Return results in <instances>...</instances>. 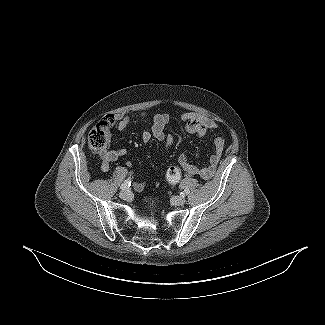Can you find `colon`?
I'll list each match as a JSON object with an SVG mask.
<instances>
[{
    "mask_svg": "<svg viewBox=\"0 0 325 325\" xmlns=\"http://www.w3.org/2000/svg\"><path fill=\"white\" fill-rule=\"evenodd\" d=\"M113 120L104 118L89 133L88 145L94 151H102L106 148L111 140ZM182 175V171L178 166H170L165 173L168 183H177Z\"/></svg>",
    "mask_w": 325,
    "mask_h": 325,
    "instance_id": "colon-1",
    "label": "colon"
}]
</instances>
